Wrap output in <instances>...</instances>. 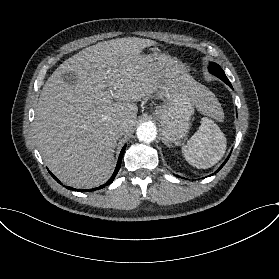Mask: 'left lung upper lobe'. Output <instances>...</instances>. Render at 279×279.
I'll return each mask as SVG.
<instances>
[{
	"instance_id": "1",
	"label": "left lung upper lobe",
	"mask_w": 279,
	"mask_h": 279,
	"mask_svg": "<svg viewBox=\"0 0 279 279\" xmlns=\"http://www.w3.org/2000/svg\"><path fill=\"white\" fill-rule=\"evenodd\" d=\"M209 71L214 74L215 76H217L218 78H220L222 81H224L227 85H231L230 81L228 80V78L226 77L224 71L222 70V68L216 64V63H210L209 66Z\"/></svg>"
}]
</instances>
